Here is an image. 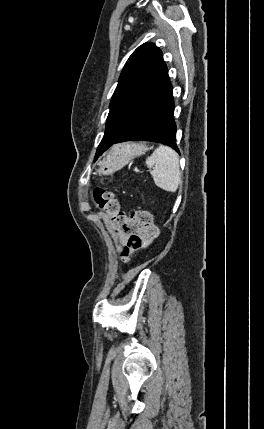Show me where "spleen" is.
<instances>
[{"label":"spleen","instance_id":"1","mask_svg":"<svg viewBox=\"0 0 264 429\" xmlns=\"http://www.w3.org/2000/svg\"><path fill=\"white\" fill-rule=\"evenodd\" d=\"M154 183L167 192H175L181 182L179 156L170 147L160 145L146 159Z\"/></svg>","mask_w":264,"mask_h":429}]
</instances>
